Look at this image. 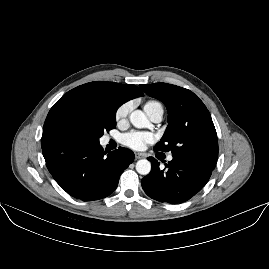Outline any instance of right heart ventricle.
Returning a JSON list of instances; mask_svg holds the SVG:
<instances>
[{
    "mask_svg": "<svg viewBox=\"0 0 269 269\" xmlns=\"http://www.w3.org/2000/svg\"><path fill=\"white\" fill-rule=\"evenodd\" d=\"M158 102L156 101H147L144 105V109L146 110L148 107L156 105Z\"/></svg>",
    "mask_w": 269,
    "mask_h": 269,
    "instance_id": "right-heart-ventricle-1",
    "label": "right heart ventricle"
}]
</instances>
